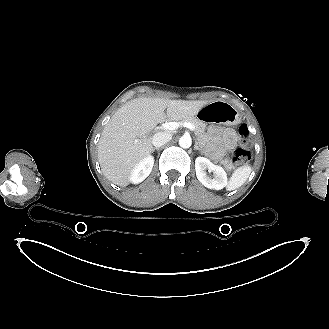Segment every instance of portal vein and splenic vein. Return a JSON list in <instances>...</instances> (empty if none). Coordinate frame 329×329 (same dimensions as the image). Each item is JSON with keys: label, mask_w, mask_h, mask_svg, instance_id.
Masks as SVG:
<instances>
[{"label": "portal vein and splenic vein", "mask_w": 329, "mask_h": 329, "mask_svg": "<svg viewBox=\"0 0 329 329\" xmlns=\"http://www.w3.org/2000/svg\"><path fill=\"white\" fill-rule=\"evenodd\" d=\"M182 125L184 127H187L188 129H190L191 131H195V126L189 122H185V123L169 122V123L163 124L162 128L164 130H176Z\"/></svg>", "instance_id": "18ae733b"}]
</instances>
